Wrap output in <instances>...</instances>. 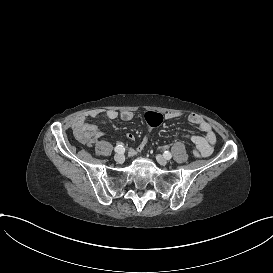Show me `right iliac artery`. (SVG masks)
<instances>
[{
  "instance_id": "1",
  "label": "right iliac artery",
  "mask_w": 273,
  "mask_h": 273,
  "mask_svg": "<svg viewBox=\"0 0 273 273\" xmlns=\"http://www.w3.org/2000/svg\"><path fill=\"white\" fill-rule=\"evenodd\" d=\"M114 150L117 153H123L125 151V148L122 145H117Z\"/></svg>"
}]
</instances>
